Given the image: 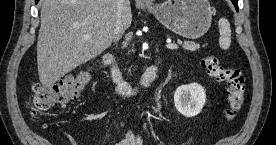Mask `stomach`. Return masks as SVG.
Listing matches in <instances>:
<instances>
[{
    "mask_svg": "<svg viewBox=\"0 0 276 145\" xmlns=\"http://www.w3.org/2000/svg\"><path fill=\"white\" fill-rule=\"evenodd\" d=\"M147 9L165 27L188 39L202 37L212 22L208 0H167Z\"/></svg>",
    "mask_w": 276,
    "mask_h": 145,
    "instance_id": "obj_1",
    "label": "stomach"
}]
</instances>
